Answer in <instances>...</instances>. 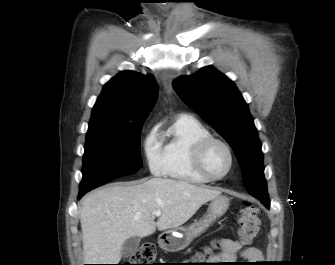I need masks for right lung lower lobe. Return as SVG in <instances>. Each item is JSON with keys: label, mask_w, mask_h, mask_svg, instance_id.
<instances>
[{"label": "right lung lower lobe", "mask_w": 335, "mask_h": 265, "mask_svg": "<svg viewBox=\"0 0 335 265\" xmlns=\"http://www.w3.org/2000/svg\"><path fill=\"white\" fill-rule=\"evenodd\" d=\"M86 193V191H83V192H79V195H78V200Z\"/></svg>", "instance_id": "right-lung-lower-lobe-1"}]
</instances>
